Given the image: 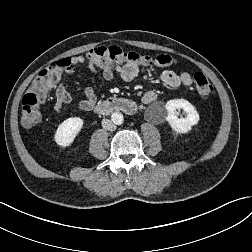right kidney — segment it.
Here are the masks:
<instances>
[{
  "label": "right kidney",
  "instance_id": "obj_1",
  "mask_svg": "<svg viewBox=\"0 0 252 252\" xmlns=\"http://www.w3.org/2000/svg\"><path fill=\"white\" fill-rule=\"evenodd\" d=\"M83 120L79 117L68 118L57 128L54 136L55 142L61 147H67L72 144L75 137L83 126Z\"/></svg>",
  "mask_w": 252,
  "mask_h": 252
}]
</instances>
